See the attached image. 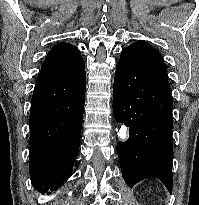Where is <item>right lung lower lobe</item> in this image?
<instances>
[{
	"label": "right lung lower lobe",
	"mask_w": 199,
	"mask_h": 205,
	"mask_svg": "<svg viewBox=\"0 0 199 205\" xmlns=\"http://www.w3.org/2000/svg\"><path fill=\"white\" fill-rule=\"evenodd\" d=\"M38 80L30 110V178L40 192L56 190L70 175L79 150L86 74L65 79L58 89Z\"/></svg>",
	"instance_id": "1"
}]
</instances>
